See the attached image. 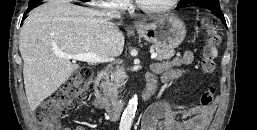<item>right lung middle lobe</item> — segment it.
Returning <instances> with one entry per match:
<instances>
[{
  "instance_id": "right-lung-middle-lobe-1",
  "label": "right lung middle lobe",
  "mask_w": 257,
  "mask_h": 130,
  "mask_svg": "<svg viewBox=\"0 0 257 130\" xmlns=\"http://www.w3.org/2000/svg\"><path fill=\"white\" fill-rule=\"evenodd\" d=\"M31 3H33V1H32V0H30L29 4H31Z\"/></svg>"
}]
</instances>
